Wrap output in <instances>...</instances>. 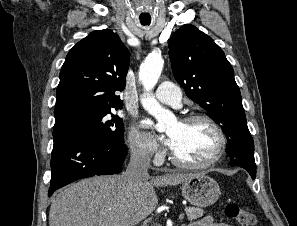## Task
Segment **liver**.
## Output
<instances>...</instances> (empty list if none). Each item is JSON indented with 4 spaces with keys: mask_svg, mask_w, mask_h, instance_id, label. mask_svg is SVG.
<instances>
[{
    "mask_svg": "<svg viewBox=\"0 0 297 226\" xmlns=\"http://www.w3.org/2000/svg\"><path fill=\"white\" fill-rule=\"evenodd\" d=\"M194 174H172L129 185L123 175L96 176L62 190L52 201L49 226H134L158 204L153 187L177 185ZM150 179V181H149Z\"/></svg>",
    "mask_w": 297,
    "mask_h": 226,
    "instance_id": "obj_1",
    "label": "liver"
}]
</instances>
